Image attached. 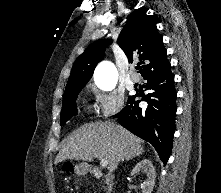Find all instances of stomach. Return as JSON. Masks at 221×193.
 <instances>
[{"mask_svg": "<svg viewBox=\"0 0 221 193\" xmlns=\"http://www.w3.org/2000/svg\"><path fill=\"white\" fill-rule=\"evenodd\" d=\"M87 171L86 164H80L75 166V172L78 175H83Z\"/></svg>", "mask_w": 221, "mask_h": 193, "instance_id": "0dacf381", "label": "stomach"}]
</instances>
